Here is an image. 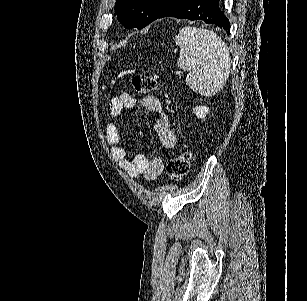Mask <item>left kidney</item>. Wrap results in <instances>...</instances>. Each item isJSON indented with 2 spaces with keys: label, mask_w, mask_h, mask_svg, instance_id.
Segmentation results:
<instances>
[{
  "label": "left kidney",
  "mask_w": 307,
  "mask_h": 301,
  "mask_svg": "<svg viewBox=\"0 0 307 301\" xmlns=\"http://www.w3.org/2000/svg\"><path fill=\"white\" fill-rule=\"evenodd\" d=\"M193 112H195L197 118H205L209 112V106H195Z\"/></svg>",
  "instance_id": "obj_1"
}]
</instances>
